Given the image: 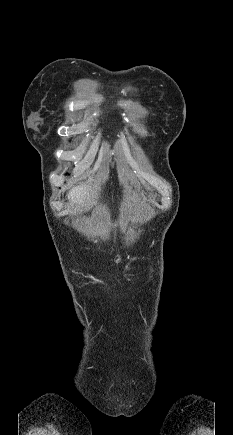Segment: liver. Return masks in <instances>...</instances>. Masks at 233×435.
I'll use <instances>...</instances> for the list:
<instances>
[{"label":"liver","instance_id":"liver-1","mask_svg":"<svg viewBox=\"0 0 233 435\" xmlns=\"http://www.w3.org/2000/svg\"><path fill=\"white\" fill-rule=\"evenodd\" d=\"M90 191L91 186L89 184H82L73 187L67 197L71 205H76L77 207L90 208Z\"/></svg>","mask_w":233,"mask_h":435}]
</instances>
